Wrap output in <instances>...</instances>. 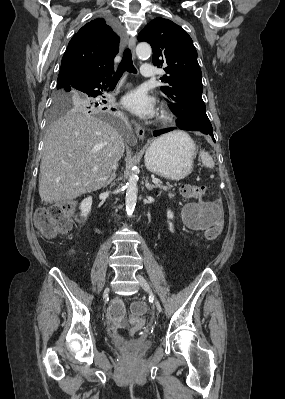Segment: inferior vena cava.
<instances>
[{
	"label": "inferior vena cava",
	"instance_id": "obj_1",
	"mask_svg": "<svg viewBox=\"0 0 285 399\" xmlns=\"http://www.w3.org/2000/svg\"><path fill=\"white\" fill-rule=\"evenodd\" d=\"M117 168V163H115V165H114V169H116Z\"/></svg>",
	"mask_w": 285,
	"mask_h": 399
}]
</instances>
